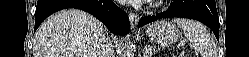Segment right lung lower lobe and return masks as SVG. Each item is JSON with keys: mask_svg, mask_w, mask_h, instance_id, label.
I'll use <instances>...</instances> for the list:
<instances>
[{"mask_svg": "<svg viewBox=\"0 0 249 57\" xmlns=\"http://www.w3.org/2000/svg\"><path fill=\"white\" fill-rule=\"evenodd\" d=\"M65 8H77L92 14L116 35L123 36L129 32L127 14L111 0H38L34 31L52 13Z\"/></svg>", "mask_w": 249, "mask_h": 57, "instance_id": "1", "label": "right lung lower lobe"}]
</instances>
